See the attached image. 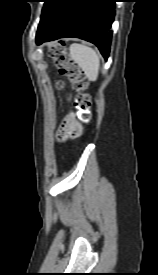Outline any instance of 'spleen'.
Here are the masks:
<instances>
[{
  "instance_id": "obj_1",
  "label": "spleen",
  "mask_w": 158,
  "mask_h": 275,
  "mask_svg": "<svg viewBox=\"0 0 158 275\" xmlns=\"http://www.w3.org/2000/svg\"><path fill=\"white\" fill-rule=\"evenodd\" d=\"M71 58L84 71L86 77L91 81L98 78L100 58L98 53L83 44H72L69 48Z\"/></svg>"
}]
</instances>
